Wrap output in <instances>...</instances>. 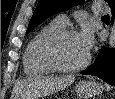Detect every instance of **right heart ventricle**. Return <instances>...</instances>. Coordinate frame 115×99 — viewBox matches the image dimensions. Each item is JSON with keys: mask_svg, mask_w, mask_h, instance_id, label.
Wrapping results in <instances>:
<instances>
[{"mask_svg": "<svg viewBox=\"0 0 115 99\" xmlns=\"http://www.w3.org/2000/svg\"><path fill=\"white\" fill-rule=\"evenodd\" d=\"M61 29L63 26L54 21L42 27L32 37L23 54V69L26 75L39 77L53 71L42 59L41 47L50 35Z\"/></svg>", "mask_w": 115, "mask_h": 99, "instance_id": "1", "label": "right heart ventricle"}]
</instances>
